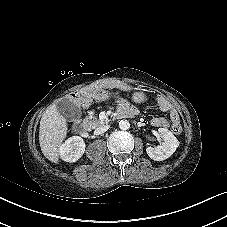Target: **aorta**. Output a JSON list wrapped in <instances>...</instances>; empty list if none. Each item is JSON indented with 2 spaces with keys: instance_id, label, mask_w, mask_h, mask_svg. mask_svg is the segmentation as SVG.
Segmentation results:
<instances>
[{
  "instance_id": "1",
  "label": "aorta",
  "mask_w": 227,
  "mask_h": 227,
  "mask_svg": "<svg viewBox=\"0 0 227 227\" xmlns=\"http://www.w3.org/2000/svg\"><path fill=\"white\" fill-rule=\"evenodd\" d=\"M119 128H120L121 130H127V129L130 128V123H129L127 120H121V121L119 122Z\"/></svg>"
}]
</instances>
